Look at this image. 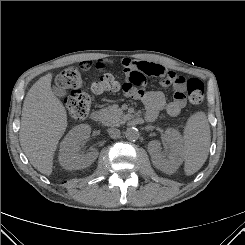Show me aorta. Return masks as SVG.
I'll return each instance as SVG.
<instances>
[{
    "label": "aorta",
    "mask_w": 245,
    "mask_h": 245,
    "mask_svg": "<svg viewBox=\"0 0 245 245\" xmlns=\"http://www.w3.org/2000/svg\"><path fill=\"white\" fill-rule=\"evenodd\" d=\"M125 137L129 141H136L139 138V131L135 127L127 128L125 131Z\"/></svg>",
    "instance_id": "obj_1"
}]
</instances>
